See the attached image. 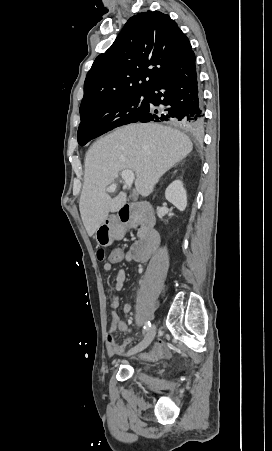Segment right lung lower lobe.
<instances>
[{
    "label": "right lung lower lobe",
    "mask_w": 272,
    "mask_h": 451,
    "mask_svg": "<svg viewBox=\"0 0 272 451\" xmlns=\"http://www.w3.org/2000/svg\"><path fill=\"white\" fill-rule=\"evenodd\" d=\"M149 103L162 104L165 113H158L149 105L148 112L140 122H171L188 132H197L203 127V109L192 51L173 66L148 93ZM137 121V122H138Z\"/></svg>",
    "instance_id": "98d812e1"
}]
</instances>
